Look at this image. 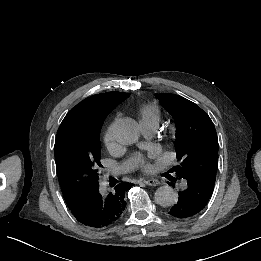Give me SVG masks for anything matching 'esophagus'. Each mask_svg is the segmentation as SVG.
Instances as JSON below:
<instances>
[{"mask_svg": "<svg viewBox=\"0 0 261 261\" xmlns=\"http://www.w3.org/2000/svg\"><path fill=\"white\" fill-rule=\"evenodd\" d=\"M144 183L146 185H149V186H157V185H160V181L157 180V179H148V180H145Z\"/></svg>", "mask_w": 261, "mask_h": 261, "instance_id": "obj_1", "label": "esophagus"}]
</instances>
